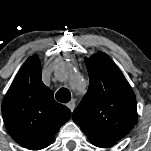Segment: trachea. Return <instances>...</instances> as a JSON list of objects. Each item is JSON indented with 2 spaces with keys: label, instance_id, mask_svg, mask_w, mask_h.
<instances>
[{
  "label": "trachea",
  "instance_id": "1",
  "mask_svg": "<svg viewBox=\"0 0 151 151\" xmlns=\"http://www.w3.org/2000/svg\"><path fill=\"white\" fill-rule=\"evenodd\" d=\"M56 99L61 103H67L71 100V93L66 88H60L55 95Z\"/></svg>",
  "mask_w": 151,
  "mask_h": 151
}]
</instances>
